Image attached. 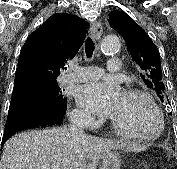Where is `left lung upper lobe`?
Masks as SVG:
<instances>
[{"label":"left lung upper lobe","instance_id":"1","mask_svg":"<svg viewBox=\"0 0 177 169\" xmlns=\"http://www.w3.org/2000/svg\"><path fill=\"white\" fill-rule=\"evenodd\" d=\"M109 21L124 38L133 61L140 68L144 83L156 92L161 102L169 103L163 83L160 54L153 41L125 12H110Z\"/></svg>","mask_w":177,"mask_h":169}]
</instances>
